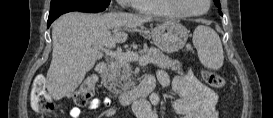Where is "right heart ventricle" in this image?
I'll use <instances>...</instances> for the list:
<instances>
[{
    "label": "right heart ventricle",
    "mask_w": 273,
    "mask_h": 118,
    "mask_svg": "<svg viewBox=\"0 0 273 118\" xmlns=\"http://www.w3.org/2000/svg\"><path fill=\"white\" fill-rule=\"evenodd\" d=\"M136 7L145 13H155L170 17H179L181 14L177 12L168 0H144L135 2Z\"/></svg>",
    "instance_id": "e07e8e85"
}]
</instances>
